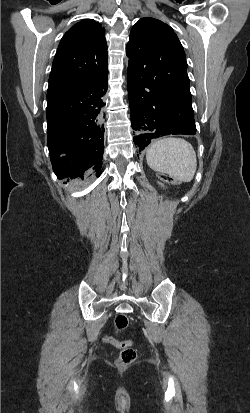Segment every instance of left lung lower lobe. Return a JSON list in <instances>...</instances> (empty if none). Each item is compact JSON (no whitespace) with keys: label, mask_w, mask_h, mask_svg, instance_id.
Here are the masks:
<instances>
[{"label":"left lung lower lobe","mask_w":250,"mask_h":413,"mask_svg":"<svg viewBox=\"0 0 250 413\" xmlns=\"http://www.w3.org/2000/svg\"><path fill=\"white\" fill-rule=\"evenodd\" d=\"M153 40L127 50V87L134 143L142 151L152 139L170 134H196L189 78L151 65Z\"/></svg>","instance_id":"obj_1"}]
</instances>
